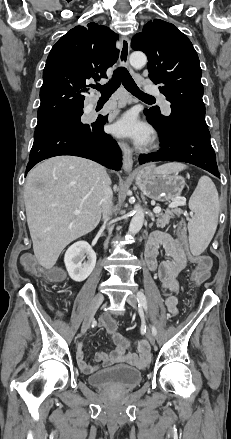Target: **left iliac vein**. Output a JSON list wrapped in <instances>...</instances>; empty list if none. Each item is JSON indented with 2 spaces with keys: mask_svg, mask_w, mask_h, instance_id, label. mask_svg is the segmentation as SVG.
I'll return each mask as SVG.
<instances>
[{
  "mask_svg": "<svg viewBox=\"0 0 231 439\" xmlns=\"http://www.w3.org/2000/svg\"><path fill=\"white\" fill-rule=\"evenodd\" d=\"M127 302L128 304H130L133 308H137L138 307V300H137V296L135 294H131L127 297ZM147 338L149 340V342L154 345L155 343V338L154 335L150 332L147 333Z\"/></svg>",
  "mask_w": 231,
  "mask_h": 439,
  "instance_id": "4c4485c4",
  "label": "left iliac vein"
}]
</instances>
